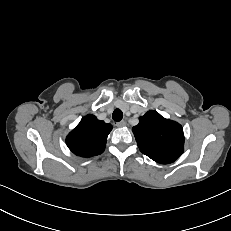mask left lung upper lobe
<instances>
[{
  "mask_svg": "<svg viewBox=\"0 0 231 231\" xmlns=\"http://www.w3.org/2000/svg\"><path fill=\"white\" fill-rule=\"evenodd\" d=\"M140 151L152 160L169 164L183 153V128L156 111H148L132 128Z\"/></svg>",
  "mask_w": 231,
  "mask_h": 231,
  "instance_id": "1",
  "label": "left lung upper lobe"
}]
</instances>
